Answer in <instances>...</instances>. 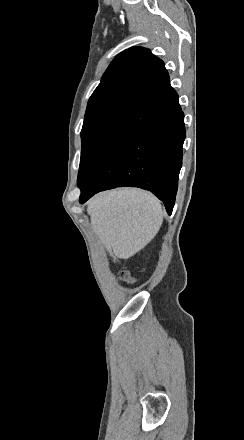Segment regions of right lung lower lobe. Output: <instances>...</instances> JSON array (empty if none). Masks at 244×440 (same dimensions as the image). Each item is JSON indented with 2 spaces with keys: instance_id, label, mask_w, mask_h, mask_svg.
Segmentation results:
<instances>
[{
  "instance_id": "1",
  "label": "right lung lower lobe",
  "mask_w": 244,
  "mask_h": 440,
  "mask_svg": "<svg viewBox=\"0 0 244 440\" xmlns=\"http://www.w3.org/2000/svg\"><path fill=\"white\" fill-rule=\"evenodd\" d=\"M184 139V114L168 80L142 97L105 138L78 182L79 202L132 186L151 191L171 214Z\"/></svg>"
}]
</instances>
